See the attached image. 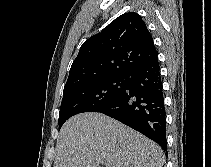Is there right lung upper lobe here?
<instances>
[{"label":"right lung upper lobe","mask_w":211,"mask_h":167,"mask_svg":"<svg viewBox=\"0 0 211 167\" xmlns=\"http://www.w3.org/2000/svg\"><path fill=\"white\" fill-rule=\"evenodd\" d=\"M156 57L153 38L141 16L125 13L83 43L64 89L100 77L125 76Z\"/></svg>","instance_id":"obj_1"}]
</instances>
